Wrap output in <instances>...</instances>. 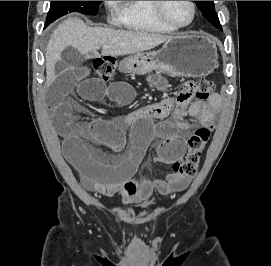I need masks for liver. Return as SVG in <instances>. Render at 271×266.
<instances>
[{
	"label": "liver",
	"mask_w": 271,
	"mask_h": 266,
	"mask_svg": "<svg viewBox=\"0 0 271 266\" xmlns=\"http://www.w3.org/2000/svg\"><path fill=\"white\" fill-rule=\"evenodd\" d=\"M171 38L149 32L92 28L77 17L68 18L55 29L46 48V87L56 80L54 62L61 60L67 47L76 48L85 58L97 57L100 46L102 56H121L151 50Z\"/></svg>",
	"instance_id": "liver-1"
}]
</instances>
